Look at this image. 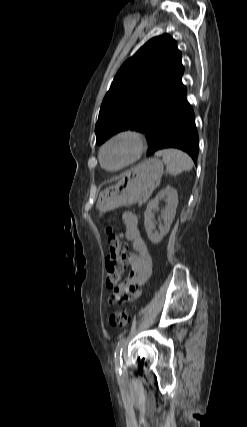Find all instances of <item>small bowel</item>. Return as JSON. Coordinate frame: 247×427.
<instances>
[{"label": "small bowel", "instance_id": "c3829d8e", "mask_svg": "<svg viewBox=\"0 0 247 427\" xmlns=\"http://www.w3.org/2000/svg\"><path fill=\"white\" fill-rule=\"evenodd\" d=\"M122 220L125 237L131 243L133 253L127 257L130 274L114 288L109 297L110 304L137 299L141 294L140 287L149 280L153 270V260L140 234L137 216L127 212L124 213Z\"/></svg>", "mask_w": 247, "mask_h": 427}]
</instances>
